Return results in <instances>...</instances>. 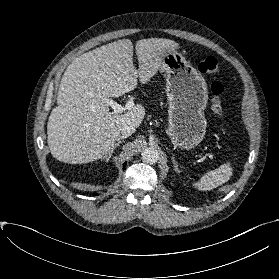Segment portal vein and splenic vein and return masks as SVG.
<instances>
[{"mask_svg":"<svg viewBox=\"0 0 279 279\" xmlns=\"http://www.w3.org/2000/svg\"><path fill=\"white\" fill-rule=\"evenodd\" d=\"M105 102L107 105H109L113 109V113H122L125 110H130L134 106L133 101H127L125 106H122L121 104H118L117 102L113 101L112 99L106 98Z\"/></svg>","mask_w":279,"mask_h":279,"instance_id":"obj_1","label":"portal vein and splenic vein"}]
</instances>
